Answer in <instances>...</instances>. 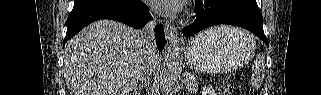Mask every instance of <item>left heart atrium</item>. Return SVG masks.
Returning a JSON list of instances; mask_svg holds the SVG:
<instances>
[{"mask_svg": "<svg viewBox=\"0 0 321 95\" xmlns=\"http://www.w3.org/2000/svg\"><path fill=\"white\" fill-rule=\"evenodd\" d=\"M184 1L181 0H151L153 8L164 13H175L178 12Z\"/></svg>", "mask_w": 321, "mask_h": 95, "instance_id": "left-heart-atrium-1", "label": "left heart atrium"}]
</instances>
